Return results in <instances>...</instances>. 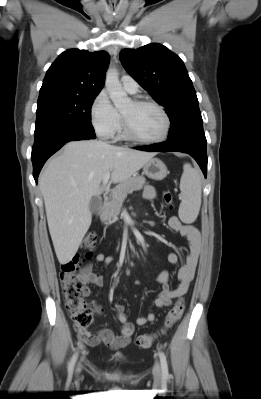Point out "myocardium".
<instances>
[{"mask_svg": "<svg viewBox=\"0 0 261 399\" xmlns=\"http://www.w3.org/2000/svg\"><path fill=\"white\" fill-rule=\"evenodd\" d=\"M133 102L136 105H148L156 108L159 110V112L162 114L164 121H165V128L163 134L155 139H146L138 136L131 128L127 118L121 114L122 118V126H123V133L125 137H127L129 140L142 143V144H159L164 141H166L170 135L171 128H172V123L169 114L167 113L166 109L158 102L151 100V99H145V98H136L133 100Z\"/></svg>", "mask_w": 261, "mask_h": 399, "instance_id": "1", "label": "myocardium"}]
</instances>
